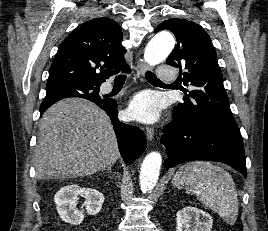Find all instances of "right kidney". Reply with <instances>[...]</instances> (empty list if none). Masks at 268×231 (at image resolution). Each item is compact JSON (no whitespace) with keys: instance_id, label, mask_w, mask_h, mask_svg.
Listing matches in <instances>:
<instances>
[{"instance_id":"ca27d5eb","label":"right kidney","mask_w":268,"mask_h":231,"mask_svg":"<svg viewBox=\"0 0 268 231\" xmlns=\"http://www.w3.org/2000/svg\"><path fill=\"white\" fill-rule=\"evenodd\" d=\"M78 196L86 199L85 210L90 215L98 214L104 202L103 194L96 189L81 188L76 184L61 188L56 193L54 202L60 218L71 225H80L84 220V210H79L76 207Z\"/></svg>"}]
</instances>
